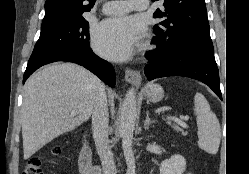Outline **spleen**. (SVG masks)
<instances>
[{"instance_id": "1", "label": "spleen", "mask_w": 249, "mask_h": 174, "mask_svg": "<svg viewBox=\"0 0 249 174\" xmlns=\"http://www.w3.org/2000/svg\"><path fill=\"white\" fill-rule=\"evenodd\" d=\"M194 113L198 126V146L209 154H216L219 149L221 131L220 124L210 109L204 95L196 93L194 97Z\"/></svg>"}]
</instances>
